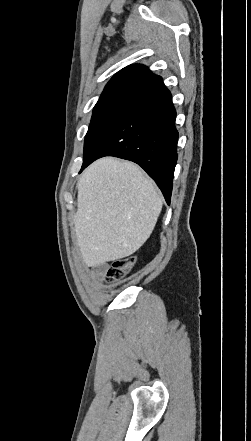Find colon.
Listing matches in <instances>:
<instances>
[{
  "instance_id": "obj_1",
  "label": "colon",
  "mask_w": 251,
  "mask_h": 441,
  "mask_svg": "<svg viewBox=\"0 0 251 441\" xmlns=\"http://www.w3.org/2000/svg\"><path fill=\"white\" fill-rule=\"evenodd\" d=\"M135 261L136 258L132 255L116 258L105 271V281L109 284H113L120 280L131 271Z\"/></svg>"
}]
</instances>
